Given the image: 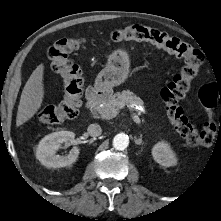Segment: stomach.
Listing matches in <instances>:
<instances>
[{
    "label": "stomach",
    "mask_w": 221,
    "mask_h": 221,
    "mask_svg": "<svg viewBox=\"0 0 221 221\" xmlns=\"http://www.w3.org/2000/svg\"><path fill=\"white\" fill-rule=\"evenodd\" d=\"M130 60L123 49L113 51L107 65L100 71L95 80V87L103 92H110L114 86L123 83L129 74Z\"/></svg>",
    "instance_id": "stomach-1"
}]
</instances>
